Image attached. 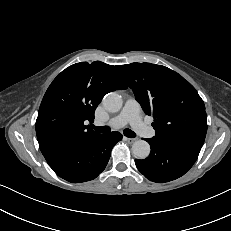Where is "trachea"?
I'll use <instances>...</instances> for the list:
<instances>
[{
  "label": "trachea",
  "instance_id": "obj_1",
  "mask_svg": "<svg viewBox=\"0 0 231 231\" xmlns=\"http://www.w3.org/2000/svg\"><path fill=\"white\" fill-rule=\"evenodd\" d=\"M92 127L95 131L100 132V133H110L111 132V128L109 126L97 127L93 125ZM123 133L128 138L136 137V134L128 128L124 129Z\"/></svg>",
  "mask_w": 231,
  "mask_h": 231
}]
</instances>
